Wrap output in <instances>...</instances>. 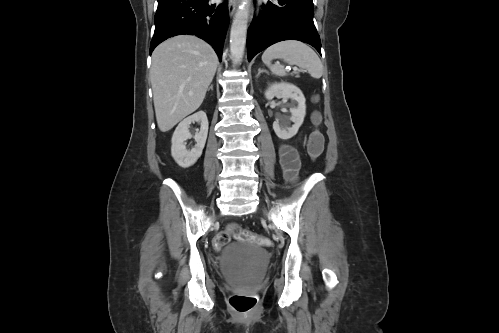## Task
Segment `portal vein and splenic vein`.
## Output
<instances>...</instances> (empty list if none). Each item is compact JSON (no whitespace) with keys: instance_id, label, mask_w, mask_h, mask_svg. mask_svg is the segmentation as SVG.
I'll use <instances>...</instances> for the list:
<instances>
[{"instance_id":"portal-vein-and-splenic-vein-1","label":"portal vein and splenic vein","mask_w":499,"mask_h":333,"mask_svg":"<svg viewBox=\"0 0 499 333\" xmlns=\"http://www.w3.org/2000/svg\"><path fill=\"white\" fill-rule=\"evenodd\" d=\"M286 68H287L288 70H291V67H290V66H287ZM293 69H294V70H298V68H297V67H294Z\"/></svg>"}]
</instances>
